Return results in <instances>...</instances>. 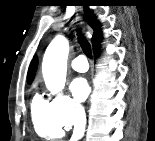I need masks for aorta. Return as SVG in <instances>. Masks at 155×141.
Wrapping results in <instances>:
<instances>
[{
  "label": "aorta",
  "instance_id": "762f6f07",
  "mask_svg": "<svg viewBox=\"0 0 155 141\" xmlns=\"http://www.w3.org/2000/svg\"><path fill=\"white\" fill-rule=\"evenodd\" d=\"M69 42L61 35L56 36L47 47L42 63V73L47 89L58 95L66 82Z\"/></svg>",
  "mask_w": 155,
  "mask_h": 141
}]
</instances>
